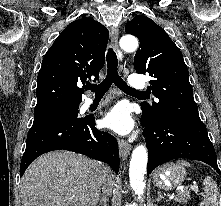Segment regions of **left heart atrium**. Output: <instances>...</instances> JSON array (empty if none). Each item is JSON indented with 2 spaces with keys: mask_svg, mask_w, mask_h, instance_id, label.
<instances>
[{
  "mask_svg": "<svg viewBox=\"0 0 221 206\" xmlns=\"http://www.w3.org/2000/svg\"><path fill=\"white\" fill-rule=\"evenodd\" d=\"M103 124L109 129L121 134L128 133L133 127V120L128 109L122 105H116L104 117Z\"/></svg>",
  "mask_w": 221,
  "mask_h": 206,
  "instance_id": "obj_1",
  "label": "left heart atrium"
}]
</instances>
